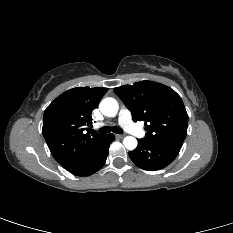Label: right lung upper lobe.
<instances>
[{"instance_id":"obj_1","label":"right lung upper lobe","mask_w":233,"mask_h":233,"mask_svg":"<svg viewBox=\"0 0 233 233\" xmlns=\"http://www.w3.org/2000/svg\"><path fill=\"white\" fill-rule=\"evenodd\" d=\"M108 88L77 87L65 91L45 110L43 135L56 161L69 169L105 136L86 133L91 113Z\"/></svg>"}]
</instances>
